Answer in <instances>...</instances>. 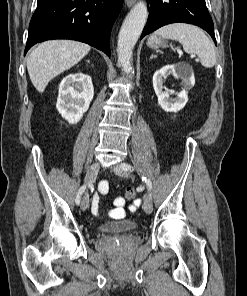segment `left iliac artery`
<instances>
[{"mask_svg":"<svg viewBox=\"0 0 247 296\" xmlns=\"http://www.w3.org/2000/svg\"><path fill=\"white\" fill-rule=\"evenodd\" d=\"M121 167L126 170V171H132L133 170V167L130 165V164H127V163H123L121 164ZM142 180L145 181L147 187H148V190L151 192V189H152V183L149 179H146V177H142ZM151 196V194H150Z\"/></svg>","mask_w":247,"mask_h":296,"instance_id":"left-iliac-artery-1","label":"left iliac artery"}]
</instances>
